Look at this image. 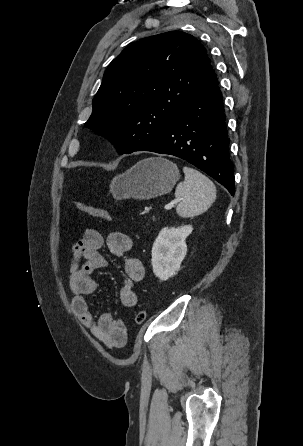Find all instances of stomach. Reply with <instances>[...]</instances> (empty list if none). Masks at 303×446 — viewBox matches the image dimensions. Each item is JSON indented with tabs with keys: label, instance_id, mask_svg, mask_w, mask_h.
<instances>
[{
	"label": "stomach",
	"instance_id": "0dacf381",
	"mask_svg": "<svg viewBox=\"0 0 303 446\" xmlns=\"http://www.w3.org/2000/svg\"><path fill=\"white\" fill-rule=\"evenodd\" d=\"M179 178L180 172L175 163L162 157H151L115 176L110 191L117 200H148L170 192Z\"/></svg>",
	"mask_w": 303,
	"mask_h": 446
}]
</instances>
